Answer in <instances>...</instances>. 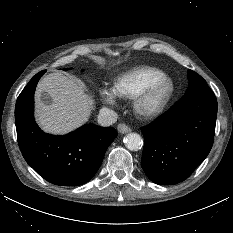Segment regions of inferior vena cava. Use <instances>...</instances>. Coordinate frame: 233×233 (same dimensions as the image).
<instances>
[{
    "label": "inferior vena cava",
    "mask_w": 233,
    "mask_h": 233,
    "mask_svg": "<svg viewBox=\"0 0 233 233\" xmlns=\"http://www.w3.org/2000/svg\"><path fill=\"white\" fill-rule=\"evenodd\" d=\"M118 115L115 111L103 107L98 114V123L102 126H110L117 121Z\"/></svg>",
    "instance_id": "602c4592"
}]
</instances>
